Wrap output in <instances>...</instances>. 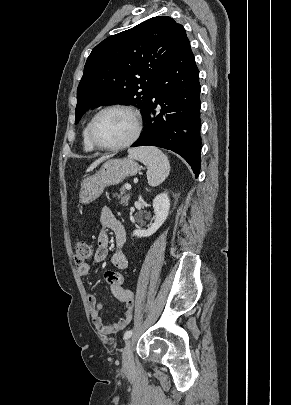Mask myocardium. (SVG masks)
Here are the masks:
<instances>
[{
  "label": "myocardium",
  "instance_id": "obj_1",
  "mask_svg": "<svg viewBox=\"0 0 291 405\" xmlns=\"http://www.w3.org/2000/svg\"><path fill=\"white\" fill-rule=\"evenodd\" d=\"M112 110H120V111H125L129 113L134 120L135 124V129L133 134L131 135L130 138H128L126 141L117 144V145H102L94 137V125L96 120L101 116L103 113L112 111ZM143 128V121H142V116L139 110H137L135 107L126 105V104H112L105 106L101 108L90 120L87 126V137L90 142V144L97 150H102V151H118V150H123L125 148H128L131 146L133 143L137 141L139 138Z\"/></svg>",
  "mask_w": 291,
  "mask_h": 405
}]
</instances>
